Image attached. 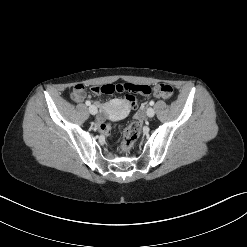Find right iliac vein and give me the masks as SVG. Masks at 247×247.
Wrapping results in <instances>:
<instances>
[{
    "instance_id": "63e3f726",
    "label": "right iliac vein",
    "mask_w": 247,
    "mask_h": 247,
    "mask_svg": "<svg viewBox=\"0 0 247 247\" xmlns=\"http://www.w3.org/2000/svg\"><path fill=\"white\" fill-rule=\"evenodd\" d=\"M89 112L92 114V115H95L97 113V107L95 105H90L89 106Z\"/></svg>"
}]
</instances>
